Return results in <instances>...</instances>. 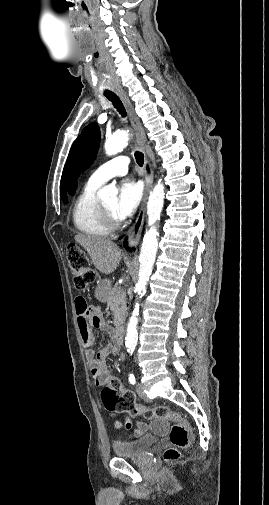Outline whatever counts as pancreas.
Listing matches in <instances>:
<instances>
[{"instance_id":"cf45deb5","label":"pancreas","mask_w":269,"mask_h":505,"mask_svg":"<svg viewBox=\"0 0 269 505\" xmlns=\"http://www.w3.org/2000/svg\"><path fill=\"white\" fill-rule=\"evenodd\" d=\"M107 306L114 313V325L122 324L126 315V303L125 293L120 287L115 286L109 290Z\"/></svg>"}]
</instances>
